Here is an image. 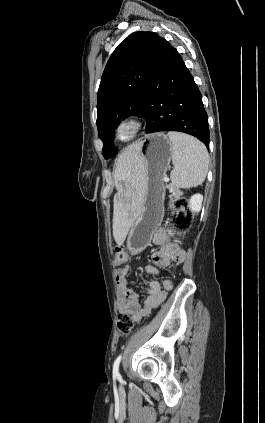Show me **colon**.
<instances>
[{"label":"colon","instance_id":"5ec220e1","mask_svg":"<svg viewBox=\"0 0 265 423\" xmlns=\"http://www.w3.org/2000/svg\"><path fill=\"white\" fill-rule=\"evenodd\" d=\"M171 205L177 209L172 217V225L174 229L181 233L187 231L190 223V214L182 210V208L187 205V201L185 199H172ZM126 260V253L123 251V249L117 248V254L115 258L116 264H124ZM134 326V321L129 313L123 312L118 315L117 328L121 334H131L134 330Z\"/></svg>","mask_w":265,"mask_h":423}]
</instances>
